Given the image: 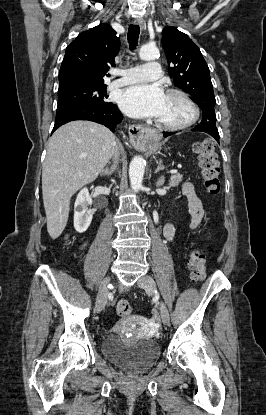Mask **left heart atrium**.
<instances>
[{
    "instance_id": "obj_1",
    "label": "left heart atrium",
    "mask_w": 266,
    "mask_h": 415,
    "mask_svg": "<svg viewBox=\"0 0 266 415\" xmlns=\"http://www.w3.org/2000/svg\"><path fill=\"white\" fill-rule=\"evenodd\" d=\"M166 95L157 84H141L127 88L121 95L122 111L134 118H158L163 111Z\"/></svg>"
}]
</instances>
